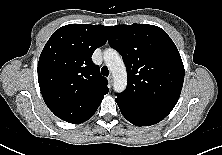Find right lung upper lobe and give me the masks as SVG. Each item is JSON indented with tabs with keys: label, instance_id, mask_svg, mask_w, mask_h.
<instances>
[{
	"label": "right lung upper lobe",
	"instance_id": "1",
	"mask_svg": "<svg viewBox=\"0 0 222 155\" xmlns=\"http://www.w3.org/2000/svg\"><path fill=\"white\" fill-rule=\"evenodd\" d=\"M107 41L103 25L69 24L47 41L38 62V82L48 108L69 123H82L108 93L106 78L91 56Z\"/></svg>",
	"mask_w": 222,
	"mask_h": 155
}]
</instances>
